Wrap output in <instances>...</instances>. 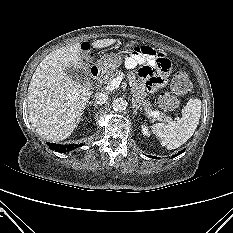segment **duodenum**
Wrapping results in <instances>:
<instances>
[{
	"label": "duodenum",
	"instance_id": "obj_1",
	"mask_svg": "<svg viewBox=\"0 0 233 233\" xmlns=\"http://www.w3.org/2000/svg\"><path fill=\"white\" fill-rule=\"evenodd\" d=\"M91 75L95 80H100L104 76V73L101 69H99L97 67H93L91 69Z\"/></svg>",
	"mask_w": 233,
	"mask_h": 233
}]
</instances>
